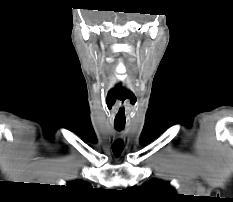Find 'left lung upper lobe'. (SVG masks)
<instances>
[{"label": "left lung upper lobe", "mask_w": 233, "mask_h": 202, "mask_svg": "<svg viewBox=\"0 0 233 202\" xmlns=\"http://www.w3.org/2000/svg\"><path fill=\"white\" fill-rule=\"evenodd\" d=\"M131 191L138 192L153 201H172L176 198L175 189L168 182L151 180L141 187L129 188Z\"/></svg>", "instance_id": "obj_1"}]
</instances>
